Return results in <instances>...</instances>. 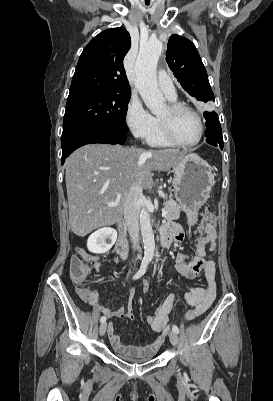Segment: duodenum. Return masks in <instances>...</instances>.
<instances>
[{
  "label": "duodenum",
  "mask_w": 273,
  "mask_h": 401,
  "mask_svg": "<svg viewBox=\"0 0 273 401\" xmlns=\"http://www.w3.org/2000/svg\"><path fill=\"white\" fill-rule=\"evenodd\" d=\"M118 230H119V238L116 244V251L122 258H127L129 255V246L126 240L123 225H119ZM171 242H172L171 238L165 233H162L160 240L161 248L162 249L168 248Z\"/></svg>",
  "instance_id": "obj_1"
}]
</instances>
